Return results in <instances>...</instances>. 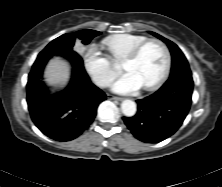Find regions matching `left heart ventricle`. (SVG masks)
<instances>
[{
  "label": "left heart ventricle",
  "mask_w": 222,
  "mask_h": 187,
  "mask_svg": "<svg viewBox=\"0 0 222 187\" xmlns=\"http://www.w3.org/2000/svg\"><path fill=\"white\" fill-rule=\"evenodd\" d=\"M165 54L157 44H150L144 48L140 57L134 62H122V68L131 73L145 86L156 81L164 68Z\"/></svg>",
  "instance_id": "left-heart-ventricle-1"
}]
</instances>
